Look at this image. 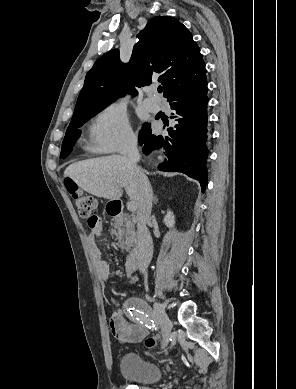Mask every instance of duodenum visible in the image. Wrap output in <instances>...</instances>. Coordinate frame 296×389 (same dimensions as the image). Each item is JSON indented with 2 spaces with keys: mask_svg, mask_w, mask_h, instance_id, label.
<instances>
[{
  "mask_svg": "<svg viewBox=\"0 0 296 389\" xmlns=\"http://www.w3.org/2000/svg\"><path fill=\"white\" fill-rule=\"evenodd\" d=\"M122 204L120 201H112L109 205V214L113 217H120L122 215ZM152 254V242L150 239L133 240L132 250L128 256L125 268L128 274L135 271L139 264L148 260Z\"/></svg>",
  "mask_w": 296,
  "mask_h": 389,
  "instance_id": "1",
  "label": "duodenum"
}]
</instances>
